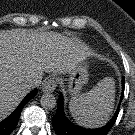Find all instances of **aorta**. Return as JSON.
Listing matches in <instances>:
<instances>
[{"label":"aorta","mask_w":135,"mask_h":135,"mask_svg":"<svg viewBox=\"0 0 135 135\" xmlns=\"http://www.w3.org/2000/svg\"><path fill=\"white\" fill-rule=\"evenodd\" d=\"M40 104L45 109H53L56 106V98L51 93H45L41 96Z\"/></svg>","instance_id":"762f6f07"}]
</instances>
